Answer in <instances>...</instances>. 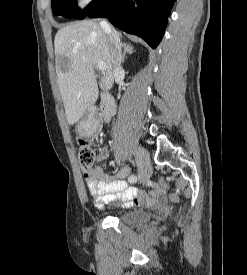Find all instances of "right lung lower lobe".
Segmentation results:
<instances>
[{
  "label": "right lung lower lobe",
  "instance_id": "98d812e1",
  "mask_svg": "<svg viewBox=\"0 0 247 275\" xmlns=\"http://www.w3.org/2000/svg\"><path fill=\"white\" fill-rule=\"evenodd\" d=\"M175 0H105L88 16L107 17L121 30L142 37L152 48L160 43Z\"/></svg>",
  "mask_w": 247,
  "mask_h": 275
}]
</instances>
